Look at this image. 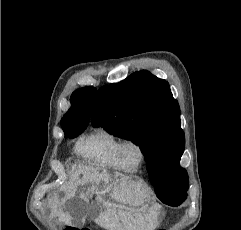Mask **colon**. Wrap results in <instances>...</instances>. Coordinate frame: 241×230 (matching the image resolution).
<instances>
[{
    "instance_id": "obj_1",
    "label": "colon",
    "mask_w": 241,
    "mask_h": 230,
    "mask_svg": "<svg viewBox=\"0 0 241 230\" xmlns=\"http://www.w3.org/2000/svg\"><path fill=\"white\" fill-rule=\"evenodd\" d=\"M65 230H78V229L72 228V227H67V228H65ZM81 230H92V229H90V228H82Z\"/></svg>"
}]
</instances>
